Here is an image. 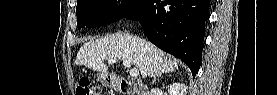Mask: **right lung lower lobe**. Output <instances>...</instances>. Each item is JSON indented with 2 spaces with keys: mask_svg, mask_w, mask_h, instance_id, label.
<instances>
[{
  "mask_svg": "<svg viewBox=\"0 0 277 95\" xmlns=\"http://www.w3.org/2000/svg\"><path fill=\"white\" fill-rule=\"evenodd\" d=\"M210 0H139L125 16L138 20L157 47L183 60L195 77L201 65Z\"/></svg>",
  "mask_w": 277,
  "mask_h": 95,
  "instance_id": "1",
  "label": "right lung lower lobe"
}]
</instances>
